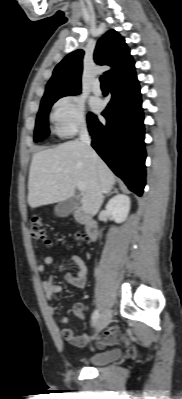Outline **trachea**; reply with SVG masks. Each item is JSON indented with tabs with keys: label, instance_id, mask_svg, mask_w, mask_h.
<instances>
[{
	"label": "trachea",
	"instance_id": "obj_1",
	"mask_svg": "<svg viewBox=\"0 0 182 399\" xmlns=\"http://www.w3.org/2000/svg\"><path fill=\"white\" fill-rule=\"evenodd\" d=\"M100 81H101L102 88H108L109 87V80H108V77L106 75H102L100 77Z\"/></svg>",
	"mask_w": 182,
	"mask_h": 399
}]
</instances>
